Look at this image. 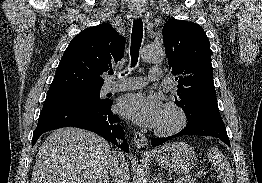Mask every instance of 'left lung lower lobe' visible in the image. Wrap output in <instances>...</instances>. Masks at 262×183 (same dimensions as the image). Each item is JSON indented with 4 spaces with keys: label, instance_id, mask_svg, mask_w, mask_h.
I'll return each instance as SVG.
<instances>
[{
    "label": "left lung lower lobe",
    "instance_id": "left-lung-lower-lobe-1",
    "mask_svg": "<svg viewBox=\"0 0 262 183\" xmlns=\"http://www.w3.org/2000/svg\"><path fill=\"white\" fill-rule=\"evenodd\" d=\"M185 135H203L216 137L231 147L225 125L219 116H204L190 120L187 122L186 127L179 133L165 138H152L151 144L156 147L170 139Z\"/></svg>",
    "mask_w": 262,
    "mask_h": 183
}]
</instances>
